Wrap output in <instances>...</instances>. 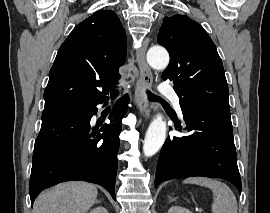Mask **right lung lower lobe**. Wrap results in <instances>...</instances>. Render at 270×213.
I'll return each instance as SVG.
<instances>
[{"label":"right lung lower lobe","mask_w":270,"mask_h":213,"mask_svg":"<svg viewBox=\"0 0 270 213\" xmlns=\"http://www.w3.org/2000/svg\"><path fill=\"white\" fill-rule=\"evenodd\" d=\"M107 100L106 96L82 106L44 109L33 151L31 204L42 190L71 180L99 184L116 200L119 134L129 98L127 94L120 98L109 115L110 124L91 128L96 106Z\"/></svg>","instance_id":"1"}]
</instances>
